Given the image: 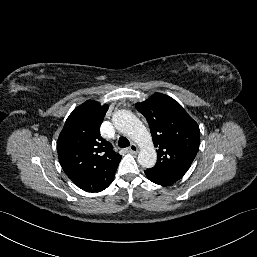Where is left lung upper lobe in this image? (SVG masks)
<instances>
[{"mask_svg": "<svg viewBox=\"0 0 257 257\" xmlns=\"http://www.w3.org/2000/svg\"><path fill=\"white\" fill-rule=\"evenodd\" d=\"M136 109L147 119L157 147V162L147 171L173 181L179 180L199 149L198 124L177 101L161 93L137 103Z\"/></svg>", "mask_w": 257, "mask_h": 257, "instance_id": "obj_1", "label": "left lung upper lobe"}]
</instances>
